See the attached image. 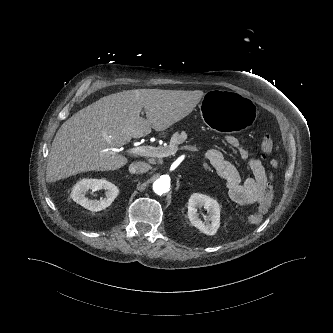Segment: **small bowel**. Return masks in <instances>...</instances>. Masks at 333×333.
<instances>
[{
  "instance_id": "small-bowel-1",
  "label": "small bowel",
  "mask_w": 333,
  "mask_h": 333,
  "mask_svg": "<svg viewBox=\"0 0 333 333\" xmlns=\"http://www.w3.org/2000/svg\"><path fill=\"white\" fill-rule=\"evenodd\" d=\"M224 140L248 164L251 177L243 179L236 166L226 160L218 150L208 151L204 157V162L210 164L218 175L225 180L229 187L230 195L236 203L241 205L261 204L268 190L267 171L264 165L258 158L248 152L239 138L226 135ZM270 162H274L276 169L278 168V163L275 159Z\"/></svg>"
}]
</instances>
